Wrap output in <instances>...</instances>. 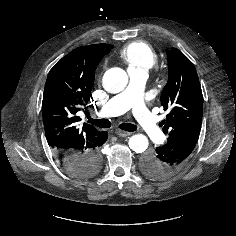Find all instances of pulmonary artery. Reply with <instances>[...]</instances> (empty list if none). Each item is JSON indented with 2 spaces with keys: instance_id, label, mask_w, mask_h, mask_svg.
<instances>
[{
  "instance_id": "obj_1",
  "label": "pulmonary artery",
  "mask_w": 236,
  "mask_h": 236,
  "mask_svg": "<svg viewBox=\"0 0 236 236\" xmlns=\"http://www.w3.org/2000/svg\"><path fill=\"white\" fill-rule=\"evenodd\" d=\"M129 84L125 90L111 98L99 110L102 117L121 115L132 110L133 115L144 132L157 142L165 141L164 134L157 124L156 117L149 111L143 100V91L148 72L144 70H128Z\"/></svg>"
}]
</instances>
